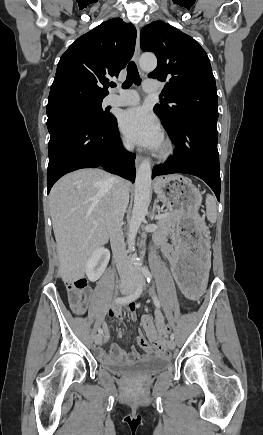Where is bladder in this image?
<instances>
[{
  "mask_svg": "<svg viewBox=\"0 0 263 435\" xmlns=\"http://www.w3.org/2000/svg\"><path fill=\"white\" fill-rule=\"evenodd\" d=\"M169 358L163 355H152L134 362H104L103 368L119 375H151L165 370Z\"/></svg>",
  "mask_w": 263,
  "mask_h": 435,
  "instance_id": "1",
  "label": "bladder"
}]
</instances>
